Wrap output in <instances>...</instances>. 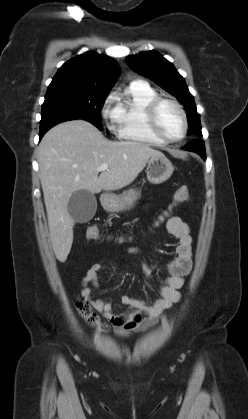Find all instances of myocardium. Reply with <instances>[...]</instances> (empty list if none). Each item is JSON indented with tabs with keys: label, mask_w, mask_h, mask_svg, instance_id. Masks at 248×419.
I'll list each match as a JSON object with an SVG mask.
<instances>
[{
	"label": "myocardium",
	"mask_w": 248,
	"mask_h": 419,
	"mask_svg": "<svg viewBox=\"0 0 248 419\" xmlns=\"http://www.w3.org/2000/svg\"><path fill=\"white\" fill-rule=\"evenodd\" d=\"M162 103H169L172 106H174L181 116V119L183 122V131L178 138H175V139L167 138L160 132L158 128L156 115H157V110ZM145 120H146L147 128L150 131V133L155 138H157L158 140L166 144L177 143V142L182 141L185 138L188 131V119H187L184 109L177 101L170 98L157 96L156 98L152 99L146 106Z\"/></svg>",
	"instance_id": "obj_1"
}]
</instances>
